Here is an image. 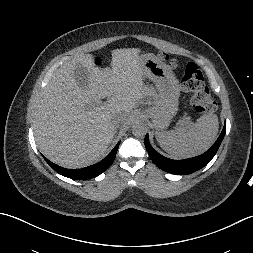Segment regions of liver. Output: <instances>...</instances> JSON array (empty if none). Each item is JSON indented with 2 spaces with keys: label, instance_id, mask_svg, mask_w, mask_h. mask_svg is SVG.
I'll return each instance as SVG.
<instances>
[{
  "label": "liver",
  "instance_id": "6515ba94",
  "mask_svg": "<svg viewBox=\"0 0 253 253\" xmlns=\"http://www.w3.org/2000/svg\"><path fill=\"white\" fill-rule=\"evenodd\" d=\"M139 49L112 52V70L82 55L60 66L39 94L33 110V131L40 151L52 162L77 169L97 162L112 143L116 114L129 117L149 95ZM86 68L88 85L81 89L74 73ZM104 104H97L102 98Z\"/></svg>",
  "mask_w": 253,
  "mask_h": 253
}]
</instances>
